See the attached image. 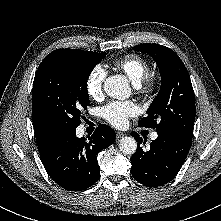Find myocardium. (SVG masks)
<instances>
[{
    "mask_svg": "<svg viewBox=\"0 0 221 221\" xmlns=\"http://www.w3.org/2000/svg\"><path fill=\"white\" fill-rule=\"evenodd\" d=\"M158 77L152 73L147 74L139 84L136 85L138 91L146 96L155 92L158 87Z\"/></svg>",
    "mask_w": 221,
    "mask_h": 221,
    "instance_id": "obj_1",
    "label": "myocardium"
}]
</instances>
